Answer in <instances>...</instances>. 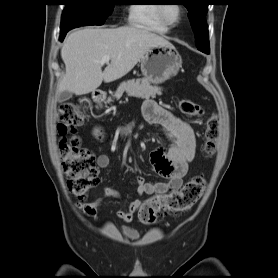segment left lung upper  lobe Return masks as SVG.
<instances>
[{
    "mask_svg": "<svg viewBox=\"0 0 278 278\" xmlns=\"http://www.w3.org/2000/svg\"><path fill=\"white\" fill-rule=\"evenodd\" d=\"M184 2L195 33L196 47L204 53L209 52V34L205 20L208 12V0H184Z\"/></svg>",
    "mask_w": 278,
    "mask_h": 278,
    "instance_id": "left-lung-upper-lobe-1",
    "label": "left lung upper lobe"
}]
</instances>
